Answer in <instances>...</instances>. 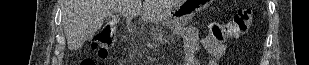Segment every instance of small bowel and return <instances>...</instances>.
Returning a JSON list of instances; mask_svg holds the SVG:
<instances>
[{
	"label": "small bowel",
	"mask_w": 309,
	"mask_h": 65,
	"mask_svg": "<svg viewBox=\"0 0 309 65\" xmlns=\"http://www.w3.org/2000/svg\"><path fill=\"white\" fill-rule=\"evenodd\" d=\"M185 49L184 65H218L225 57L227 45L210 36L201 37L193 27H186L183 34ZM200 47L205 48L209 57L199 58L197 51Z\"/></svg>",
	"instance_id": "small-bowel-1"
}]
</instances>
